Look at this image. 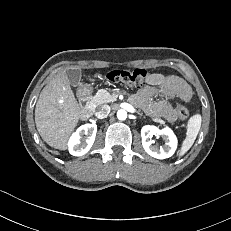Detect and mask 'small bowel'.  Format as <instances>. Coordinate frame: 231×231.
<instances>
[{"instance_id": "c3829d8e", "label": "small bowel", "mask_w": 231, "mask_h": 231, "mask_svg": "<svg viewBox=\"0 0 231 231\" xmlns=\"http://www.w3.org/2000/svg\"><path fill=\"white\" fill-rule=\"evenodd\" d=\"M159 95L160 100H153ZM192 97L190 86L180 77L165 76L163 74H151L148 85L140 89L132 98L135 103L140 104L149 114L163 117L168 121L176 120V111L169 99L177 98L187 102Z\"/></svg>"}]
</instances>
